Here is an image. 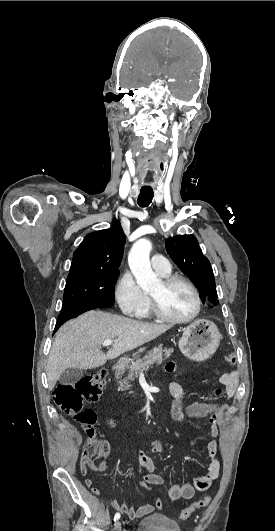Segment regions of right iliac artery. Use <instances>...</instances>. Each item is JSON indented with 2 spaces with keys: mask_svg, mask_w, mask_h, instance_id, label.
<instances>
[{
  "mask_svg": "<svg viewBox=\"0 0 275 531\" xmlns=\"http://www.w3.org/2000/svg\"><path fill=\"white\" fill-rule=\"evenodd\" d=\"M119 518H120V514L116 513L115 516H114V521L118 520Z\"/></svg>",
  "mask_w": 275,
  "mask_h": 531,
  "instance_id": "obj_1",
  "label": "right iliac artery"
}]
</instances>
